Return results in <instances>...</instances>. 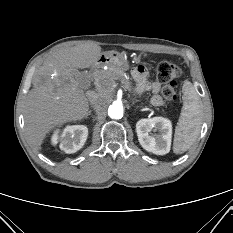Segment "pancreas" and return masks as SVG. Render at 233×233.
Listing matches in <instances>:
<instances>
[{
    "label": "pancreas",
    "instance_id": "cf45deb5",
    "mask_svg": "<svg viewBox=\"0 0 233 233\" xmlns=\"http://www.w3.org/2000/svg\"><path fill=\"white\" fill-rule=\"evenodd\" d=\"M96 80H98L106 88H109V84L115 83L116 80L121 81L125 87L127 88L130 87V83L128 80H126L123 70L118 69V68L100 70L98 75L96 76Z\"/></svg>",
    "mask_w": 233,
    "mask_h": 233
}]
</instances>
